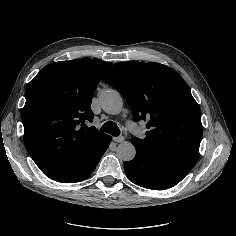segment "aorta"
<instances>
[{
    "mask_svg": "<svg viewBox=\"0 0 236 236\" xmlns=\"http://www.w3.org/2000/svg\"><path fill=\"white\" fill-rule=\"evenodd\" d=\"M102 109L112 115L119 114L123 107L122 97L116 90H106L100 95ZM136 154V149L131 142H121L116 150V156L122 161H131Z\"/></svg>",
    "mask_w": 236,
    "mask_h": 236,
    "instance_id": "obj_1",
    "label": "aorta"
}]
</instances>
